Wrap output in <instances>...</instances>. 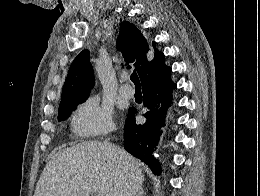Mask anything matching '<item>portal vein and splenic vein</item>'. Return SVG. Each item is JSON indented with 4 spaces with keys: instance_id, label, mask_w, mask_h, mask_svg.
Listing matches in <instances>:
<instances>
[{
    "instance_id": "18ae733b",
    "label": "portal vein and splenic vein",
    "mask_w": 260,
    "mask_h": 196,
    "mask_svg": "<svg viewBox=\"0 0 260 196\" xmlns=\"http://www.w3.org/2000/svg\"><path fill=\"white\" fill-rule=\"evenodd\" d=\"M95 194H97V196H102V194H98V192H95Z\"/></svg>"
}]
</instances>
